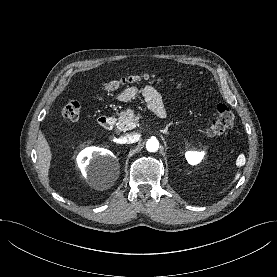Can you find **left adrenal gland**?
<instances>
[{
    "instance_id": "left-adrenal-gland-1",
    "label": "left adrenal gland",
    "mask_w": 277,
    "mask_h": 277,
    "mask_svg": "<svg viewBox=\"0 0 277 277\" xmlns=\"http://www.w3.org/2000/svg\"><path fill=\"white\" fill-rule=\"evenodd\" d=\"M170 123L166 126V128L164 129V130H161V132L163 133V134H167L168 133V128L170 127Z\"/></svg>"
}]
</instances>
